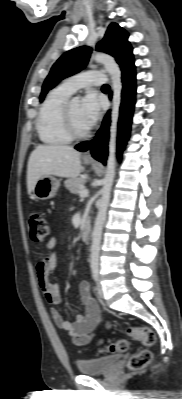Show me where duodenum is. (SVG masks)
<instances>
[{
  "mask_svg": "<svg viewBox=\"0 0 182 399\" xmlns=\"http://www.w3.org/2000/svg\"><path fill=\"white\" fill-rule=\"evenodd\" d=\"M91 232V225L89 222H86L81 228V238L83 241L89 240Z\"/></svg>",
  "mask_w": 182,
  "mask_h": 399,
  "instance_id": "obj_1",
  "label": "duodenum"
}]
</instances>
